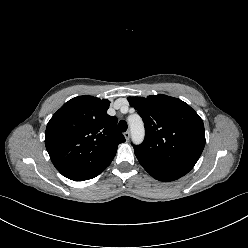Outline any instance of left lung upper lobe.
I'll list each match as a JSON object with an SVG mask.
<instances>
[{
	"instance_id": "1",
	"label": "left lung upper lobe",
	"mask_w": 248,
	"mask_h": 248,
	"mask_svg": "<svg viewBox=\"0 0 248 248\" xmlns=\"http://www.w3.org/2000/svg\"><path fill=\"white\" fill-rule=\"evenodd\" d=\"M142 117L145 139L133 145L146 170L184 176L198 161L205 146L202 119L180 99L166 96L128 97Z\"/></svg>"
}]
</instances>
